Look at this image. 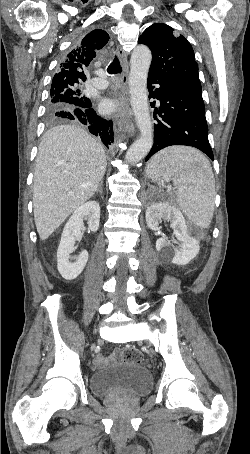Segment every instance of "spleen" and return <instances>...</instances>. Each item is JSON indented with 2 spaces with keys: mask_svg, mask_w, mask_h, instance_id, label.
Masks as SVG:
<instances>
[{
  "mask_svg": "<svg viewBox=\"0 0 250 454\" xmlns=\"http://www.w3.org/2000/svg\"><path fill=\"white\" fill-rule=\"evenodd\" d=\"M147 174L152 181L172 180L177 202L199 228H208L214 213L215 180L208 159L197 149L171 146L152 157Z\"/></svg>",
  "mask_w": 250,
  "mask_h": 454,
  "instance_id": "spleen-1",
  "label": "spleen"
}]
</instances>
